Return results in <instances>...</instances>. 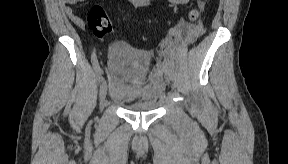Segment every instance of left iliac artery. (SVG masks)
<instances>
[{"label": "left iliac artery", "mask_w": 288, "mask_h": 164, "mask_svg": "<svg viewBox=\"0 0 288 164\" xmlns=\"http://www.w3.org/2000/svg\"><path fill=\"white\" fill-rule=\"evenodd\" d=\"M165 63H166L168 66H171V62H170L169 59H166V60H165Z\"/></svg>", "instance_id": "left-iliac-artery-1"}]
</instances>
